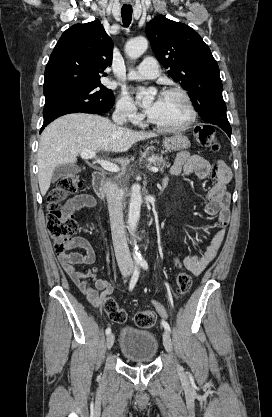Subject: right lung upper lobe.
<instances>
[{
	"label": "right lung upper lobe",
	"instance_id": "obj_1",
	"mask_svg": "<svg viewBox=\"0 0 272 417\" xmlns=\"http://www.w3.org/2000/svg\"><path fill=\"white\" fill-rule=\"evenodd\" d=\"M112 50L113 42L99 21L71 26L62 34L47 63L44 91L101 84L100 75L112 63Z\"/></svg>",
	"mask_w": 272,
	"mask_h": 417
}]
</instances>
